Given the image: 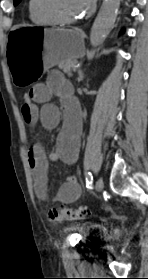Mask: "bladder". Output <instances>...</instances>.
Segmentation results:
<instances>
[{"instance_id": "31cf9c89", "label": "bladder", "mask_w": 148, "mask_h": 279, "mask_svg": "<svg viewBox=\"0 0 148 279\" xmlns=\"http://www.w3.org/2000/svg\"><path fill=\"white\" fill-rule=\"evenodd\" d=\"M67 230H77L82 235H103L105 229L98 224H70L66 226Z\"/></svg>"}]
</instances>
